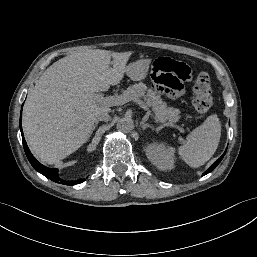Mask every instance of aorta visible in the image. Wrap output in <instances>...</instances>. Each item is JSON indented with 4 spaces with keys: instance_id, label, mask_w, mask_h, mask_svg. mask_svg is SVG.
<instances>
[{
    "instance_id": "762f6f07",
    "label": "aorta",
    "mask_w": 257,
    "mask_h": 257,
    "mask_svg": "<svg viewBox=\"0 0 257 257\" xmlns=\"http://www.w3.org/2000/svg\"><path fill=\"white\" fill-rule=\"evenodd\" d=\"M134 128L133 120L129 117H123L117 122V129L123 132H130Z\"/></svg>"
}]
</instances>
